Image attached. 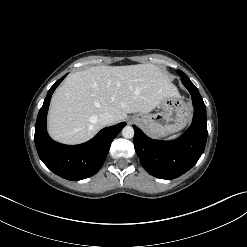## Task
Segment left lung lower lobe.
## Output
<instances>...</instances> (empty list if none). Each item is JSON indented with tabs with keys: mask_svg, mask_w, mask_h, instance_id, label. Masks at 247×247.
Returning a JSON list of instances; mask_svg holds the SVG:
<instances>
[{
	"mask_svg": "<svg viewBox=\"0 0 247 247\" xmlns=\"http://www.w3.org/2000/svg\"><path fill=\"white\" fill-rule=\"evenodd\" d=\"M181 81L189 90L194 106L193 121L178 139L160 141L148 138L135 129L134 147L144 169L161 179H174L191 169L202 155L207 140L206 106L195 85L179 71Z\"/></svg>",
	"mask_w": 247,
	"mask_h": 247,
	"instance_id": "left-lung-lower-lobe-1",
	"label": "left lung lower lobe"
}]
</instances>
